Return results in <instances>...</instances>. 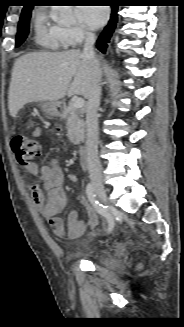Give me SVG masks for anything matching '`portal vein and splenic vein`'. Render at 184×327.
I'll list each match as a JSON object with an SVG mask.
<instances>
[{"label": "portal vein and splenic vein", "instance_id": "18ae733b", "mask_svg": "<svg viewBox=\"0 0 184 327\" xmlns=\"http://www.w3.org/2000/svg\"><path fill=\"white\" fill-rule=\"evenodd\" d=\"M84 106V100L82 98H77L74 102H73V108L75 109H80Z\"/></svg>", "mask_w": 184, "mask_h": 327}]
</instances>
